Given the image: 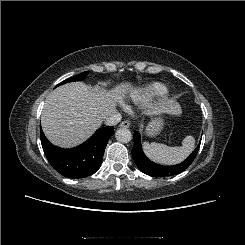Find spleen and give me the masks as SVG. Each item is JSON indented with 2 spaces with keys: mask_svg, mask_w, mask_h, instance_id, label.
<instances>
[{
  "mask_svg": "<svg viewBox=\"0 0 245 245\" xmlns=\"http://www.w3.org/2000/svg\"><path fill=\"white\" fill-rule=\"evenodd\" d=\"M195 139L186 136L181 147H169L160 143L143 142V150L149 159L164 165H174L182 162L194 149Z\"/></svg>",
  "mask_w": 245,
  "mask_h": 245,
  "instance_id": "spleen-1",
  "label": "spleen"
}]
</instances>
